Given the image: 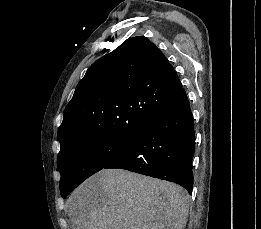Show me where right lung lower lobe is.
<instances>
[{"label": "right lung lower lobe", "mask_w": 261, "mask_h": 229, "mask_svg": "<svg viewBox=\"0 0 261 229\" xmlns=\"http://www.w3.org/2000/svg\"><path fill=\"white\" fill-rule=\"evenodd\" d=\"M195 152L194 119L184 89L104 168L126 169L174 182L190 194Z\"/></svg>", "instance_id": "obj_1"}]
</instances>
